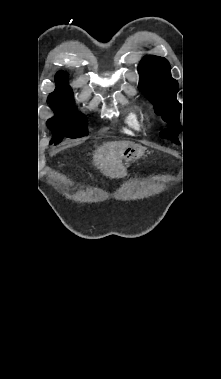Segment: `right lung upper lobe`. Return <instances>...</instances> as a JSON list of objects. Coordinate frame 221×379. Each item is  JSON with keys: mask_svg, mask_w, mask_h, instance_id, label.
<instances>
[{"mask_svg": "<svg viewBox=\"0 0 221 379\" xmlns=\"http://www.w3.org/2000/svg\"><path fill=\"white\" fill-rule=\"evenodd\" d=\"M57 87L48 97V102H73V93L68 86L66 75L63 71L56 74Z\"/></svg>", "mask_w": 221, "mask_h": 379, "instance_id": "1", "label": "right lung upper lobe"}]
</instances>
